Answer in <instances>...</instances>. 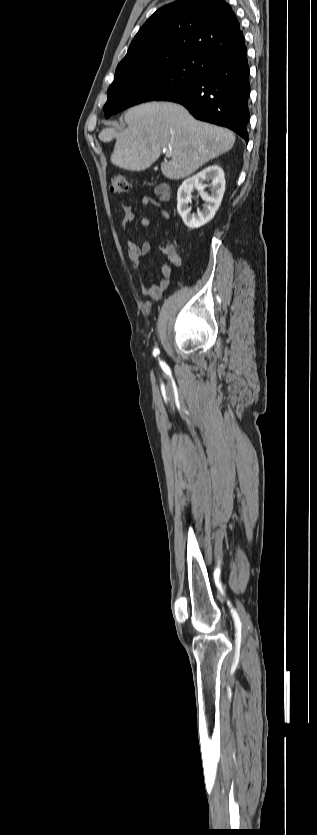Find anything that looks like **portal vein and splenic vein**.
Listing matches in <instances>:
<instances>
[{
    "mask_svg": "<svg viewBox=\"0 0 317 835\" xmlns=\"http://www.w3.org/2000/svg\"><path fill=\"white\" fill-rule=\"evenodd\" d=\"M170 154H171V152H168V155H170Z\"/></svg>",
    "mask_w": 317,
    "mask_h": 835,
    "instance_id": "1",
    "label": "portal vein and splenic vein"
}]
</instances>
